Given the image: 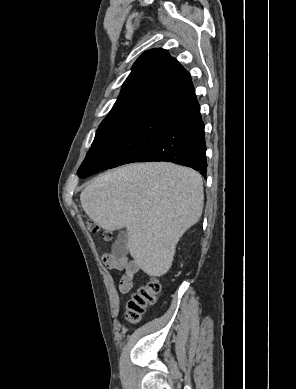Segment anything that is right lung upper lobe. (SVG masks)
Returning <instances> with one entry per match:
<instances>
[{
	"label": "right lung upper lobe",
	"mask_w": 296,
	"mask_h": 389,
	"mask_svg": "<svg viewBox=\"0 0 296 389\" xmlns=\"http://www.w3.org/2000/svg\"><path fill=\"white\" fill-rule=\"evenodd\" d=\"M198 108L189 73L166 50L152 49L134 63L106 118L154 113L178 119Z\"/></svg>",
	"instance_id": "right-lung-upper-lobe-1"
}]
</instances>
